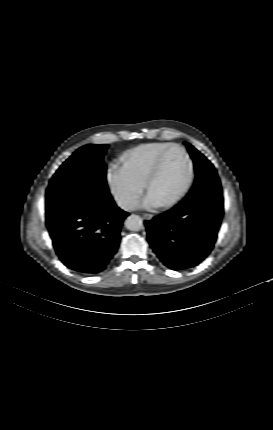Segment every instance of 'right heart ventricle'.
<instances>
[{
    "label": "right heart ventricle",
    "mask_w": 273,
    "mask_h": 430,
    "mask_svg": "<svg viewBox=\"0 0 273 430\" xmlns=\"http://www.w3.org/2000/svg\"><path fill=\"white\" fill-rule=\"evenodd\" d=\"M169 145L171 143L167 142L141 144L122 155V164L137 180L145 184L158 155Z\"/></svg>",
    "instance_id": "right-heart-ventricle-1"
}]
</instances>
